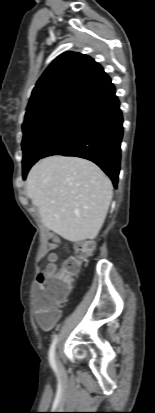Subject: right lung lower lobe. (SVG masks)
Returning <instances> with one entry per match:
<instances>
[{"mask_svg":"<svg viewBox=\"0 0 155 413\" xmlns=\"http://www.w3.org/2000/svg\"><path fill=\"white\" fill-rule=\"evenodd\" d=\"M122 122L115 87L110 82L78 105L66 128L43 158L64 155L91 160L110 177L116 188L120 170Z\"/></svg>","mask_w":155,"mask_h":413,"instance_id":"obj_1","label":"right lung lower lobe"}]
</instances>
